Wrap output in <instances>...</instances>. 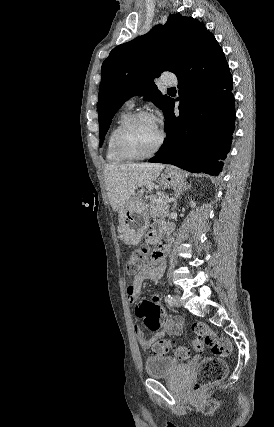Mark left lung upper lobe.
<instances>
[{
	"label": "left lung upper lobe",
	"mask_w": 274,
	"mask_h": 427,
	"mask_svg": "<svg viewBox=\"0 0 274 427\" xmlns=\"http://www.w3.org/2000/svg\"><path fill=\"white\" fill-rule=\"evenodd\" d=\"M213 37L203 23L172 14L165 25L115 47L101 70L97 103L100 146L113 116L130 96L144 95L164 112L171 98L160 94L153 79L164 71L177 76L197 49Z\"/></svg>",
	"instance_id": "obj_1"
}]
</instances>
